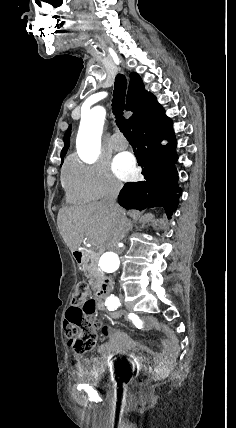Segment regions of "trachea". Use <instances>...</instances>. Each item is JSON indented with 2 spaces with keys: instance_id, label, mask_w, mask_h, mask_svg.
Instances as JSON below:
<instances>
[{
  "instance_id": "1",
  "label": "trachea",
  "mask_w": 236,
  "mask_h": 428,
  "mask_svg": "<svg viewBox=\"0 0 236 428\" xmlns=\"http://www.w3.org/2000/svg\"><path fill=\"white\" fill-rule=\"evenodd\" d=\"M127 88V80L124 75H117L115 78V86L112 100V109L116 117V124L118 125L120 131L127 138V140H133L131 129L129 123L123 115V110L125 107V94Z\"/></svg>"
}]
</instances>
